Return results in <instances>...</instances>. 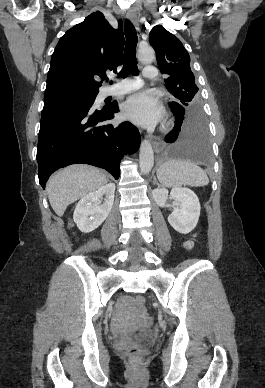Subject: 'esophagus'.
<instances>
[{
  "instance_id": "esophagus-1",
  "label": "esophagus",
  "mask_w": 265,
  "mask_h": 388,
  "mask_svg": "<svg viewBox=\"0 0 265 388\" xmlns=\"http://www.w3.org/2000/svg\"><path fill=\"white\" fill-rule=\"evenodd\" d=\"M126 17L135 25L137 29H139L137 14L135 11L128 10L126 13ZM150 139L153 143L156 153H159L160 151L163 150L165 145L163 144L162 140L158 139L157 137H154L153 135L150 136Z\"/></svg>"
}]
</instances>
